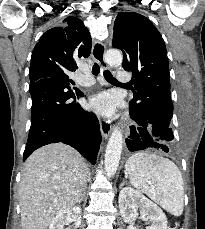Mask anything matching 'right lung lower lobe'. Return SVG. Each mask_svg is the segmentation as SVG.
<instances>
[{"label":"right lung lower lobe","instance_id":"98d812e1","mask_svg":"<svg viewBox=\"0 0 205 229\" xmlns=\"http://www.w3.org/2000/svg\"><path fill=\"white\" fill-rule=\"evenodd\" d=\"M29 90L32 116L23 160L41 146L63 142L94 164L101 143L98 119L75 101H69L83 93L52 77L30 84Z\"/></svg>","mask_w":205,"mask_h":229}]
</instances>
